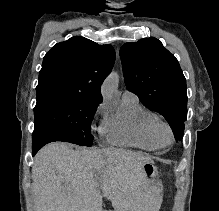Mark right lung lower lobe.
<instances>
[{
  "instance_id": "obj_1",
  "label": "right lung lower lobe",
  "mask_w": 219,
  "mask_h": 211,
  "mask_svg": "<svg viewBox=\"0 0 219 211\" xmlns=\"http://www.w3.org/2000/svg\"><path fill=\"white\" fill-rule=\"evenodd\" d=\"M54 141H64L77 144L79 141L73 137L52 132H42L38 135L32 137V155L34 156L39 149H41L45 144L54 142Z\"/></svg>"
}]
</instances>
